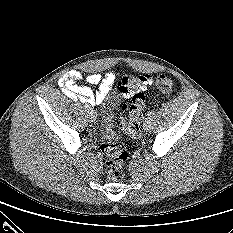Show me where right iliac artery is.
<instances>
[{"instance_id": "obj_1", "label": "right iliac artery", "mask_w": 233, "mask_h": 233, "mask_svg": "<svg viewBox=\"0 0 233 233\" xmlns=\"http://www.w3.org/2000/svg\"><path fill=\"white\" fill-rule=\"evenodd\" d=\"M84 109H85V111H87V112H89L90 110H91V108L89 107V105H84Z\"/></svg>"}]
</instances>
